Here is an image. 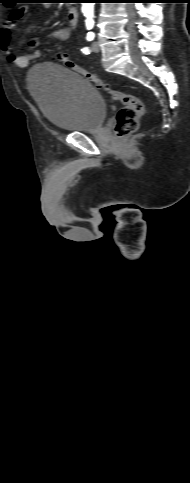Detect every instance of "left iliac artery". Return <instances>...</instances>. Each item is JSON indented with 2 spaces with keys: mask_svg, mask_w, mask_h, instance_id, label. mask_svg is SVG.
Returning a JSON list of instances; mask_svg holds the SVG:
<instances>
[{
  "mask_svg": "<svg viewBox=\"0 0 190 483\" xmlns=\"http://www.w3.org/2000/svg\"><path fill=\"white\" fill-rule=\"evenodd\" d=\"M94 36H95V35H94V33L89 32V33L87 34V36H86V39H87L88 41H92V40L94 39ZM82 52H83L84 54H89V53H90V49H89L88 47H85V48H83V49H82Z\"/></svg>",
  "mask_w": 190,
  "mask_h": 483,
  "instance_id": "obj_1",
  "label": "left iliac artery"
}]
</instances>
